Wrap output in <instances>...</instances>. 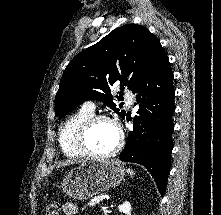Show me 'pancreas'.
Masks as SVG:
<instances>
[{"label":"pancreas","mask_w":221,"mask_h":215,"mask_svg":"<svg viewBox=\"0 0 221 215\" xmlns=\"http://www.w3.org/2000/svg\"><path fill=\"white\" fill-rule=\"evenodd\" d=\"M102 201L100 196H96L88 202L89 207H94Z\"/></svg>","instance_id":"pancreas-1"}]
</instances>
